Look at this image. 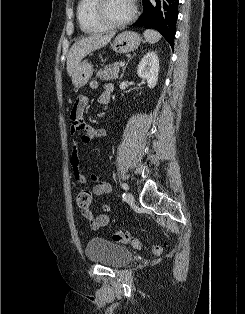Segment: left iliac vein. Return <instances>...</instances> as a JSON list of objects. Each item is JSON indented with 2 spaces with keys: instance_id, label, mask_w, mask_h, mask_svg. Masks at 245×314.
I'll use <instances>...</instances> for the list:
<instances>
[{
  "instance_id": "1",
  "label": "left iliac vein",
  "mask_w": 245,
  "mask_h": 314,
  "mask_svg": "<svg viewBox=\"0 0 245 314\" xmlns=\"http://www.w3.org/2000/svg\"><path fill=\"white\" fill-rule=\"evenodd\" d=\"M125 199H126L128 204H133V202H134V197H133L132 193H130V192H128L126 194Z\"/></svg>"
}]
</instances>
